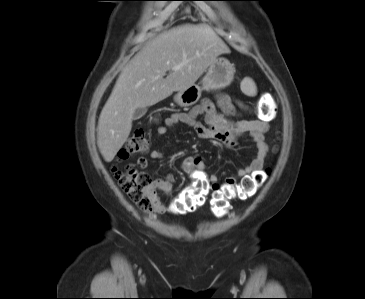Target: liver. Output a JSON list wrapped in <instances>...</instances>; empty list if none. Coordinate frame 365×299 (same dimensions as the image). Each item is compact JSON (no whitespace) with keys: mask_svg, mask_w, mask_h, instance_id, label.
<instances>
[{"mask_svg":"<svg viewBox=\"0 0 365 299\" xmlns=\"http://www.w3.org/2000/svg\"><path fill=\"white\" fill-rule=\"evenodd\" d=\"M225 53L229 48L206 24L179 25L149 42L123 69L101 111L97 144L104 160L111 162L127 141L137 108L153 106L194 85ZM176 66L180 69L175 71Z\"/></svg>","mask_w":365,"mask_h":299,"instance_id":"6515ba94","label":"liver"}]
</instances>
